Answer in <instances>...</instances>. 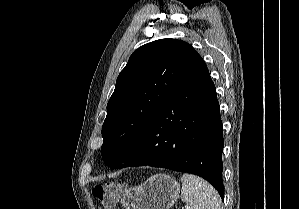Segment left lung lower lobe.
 <instances>
[{
    "label": "left lung lower lobe",
    "instance_id": "obj_1",
    "mask_svg": "<svg viewBox=\"0 0 299 209\" xmlns=\"http://www.w3.org/2000/svg\"><path fill=\"white\" fill-rule=\"evenodd\" d=\"M223 147L219 103L206 67L161 107L116 169L149 165L192 173L223 199Z\"/></svg>",
    "mask_w": 299,
    "mask_h": 209
}]
</instances>
